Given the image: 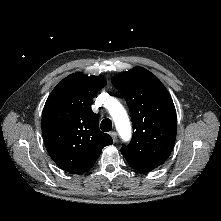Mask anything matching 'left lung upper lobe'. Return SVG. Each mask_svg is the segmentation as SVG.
Listing matches in <instances>:
<instances>
[{
    "mask_svg": "<svg viewBox=\"0 0 221 221\" xmlns=\"http://www.w3.org/2000/svg\"><path fill=\"white\" fill-rule=\"evenodd\" d=\"M112 84L125 98L133 123V137L121 152L128 164L150 172L166 161L173 150L177 118L171 96L150 71L142 67L122 72Z\"/></svg>",
    "mask_w": 221,
    "mask_h": 221,
    "instance_id": "obj_1",
    "label": "left lung upper lobe"
}]
</instances>
